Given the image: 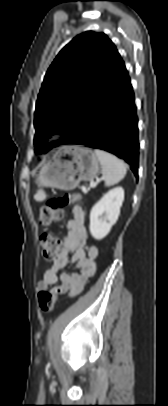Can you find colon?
Masks as SVG:
<instances>
[{
    "instance_id": "obj_1",
    "label": "colon",
    "mask_w": 168,
    "mask_h": 406,
    "mask_svg": "<svg viewBox=\"0 0 168 406\" xmlns=\"http://www.w3.org/2000/svg\"><path fill=\"white\" fill-rule=\"evenodd\" d=\"M80 200L76 194H64L48 200L40 209L39 221L43 225H50L62 218V209ZM42 255L45 259H52L58 252V240L52 235L41 237ZM57 303V296L53 292L42 290L38 294V305L45 313L52 312Z\"/></svg>"
}]
</instances>
